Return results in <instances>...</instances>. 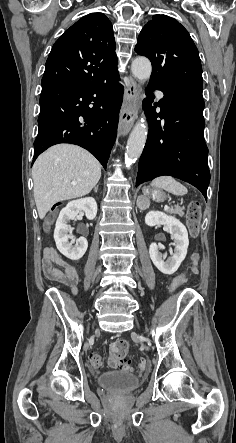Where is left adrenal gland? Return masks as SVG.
<instances>
[{
  "label": "left adrenal gland",
  "mask_w": 236,
  "mask_h": 443,
  "mask_svg": "<svg viewBox=\"0 0 236 443\" xmlns=\"http://www.w3.org/2000/svg\"><path fill=\"white\" fill-rule=\"evenodd\" d=\"M137 206H138V208H140L141 210H143V206H142V204H141L139 201H137Z\"/></svg>",
  "instance_id": "left-adrenal-gland-1"
}]
</instances>
